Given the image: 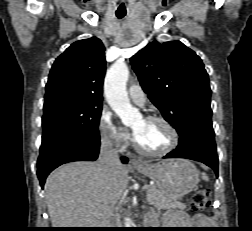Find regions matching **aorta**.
Wrapping results in <instances>:
<instances>
[{"label": "aorta", "instance_id": "obj_1", "mask_svg": "<svg viewBox=\"0 0 252 231\" xmlns=\"http://www.w3.org/2000/svg\"><path fill=\"white\" fill-rule=\"evenodd\" d=\"M129 78V69L124 61H116L108 70L105 78V96L112 110L120 117L125 125H130L139 113L130 104L126 84ZM125 226L132 227L129 218H125Z\"/></svg>", "mask_w": 252, "mask_h": 231}]
</instances>
